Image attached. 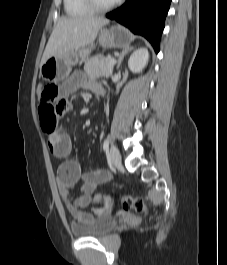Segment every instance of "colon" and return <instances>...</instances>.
<instances>
[{
    "label": "colon",
    "mask_w": 227,
    "mask_h": 265,
    "mask_svg": "<svg viewBox=\"0 0 227 265\" xmlns=\"http://www.w3.org/2000/svg\"><path fill=\"white\" fill-rule=\"evenodd\" d=\"M39 101V115L42 128L46 134L51 133L57 125L58 118L63 112H58L56 104L59 99V87L56 84H40L37 88ZM96 201L101 200V196L95 197ZM121 204L126 211L142 213L146 211V205L142 199L130 195L120 198Z\"/></svg>",
    "instance_id": "colon-1"
}]
</instances>
